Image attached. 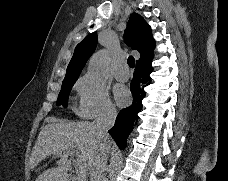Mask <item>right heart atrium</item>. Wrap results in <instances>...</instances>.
I'll use <instances>...</instances> for the list:
<instances>
[{
	"instance_id": "d8ad5b80",
	"label": "right heart atrium",
	"mask_w": 228,
	"mask_h": 181,
	"mask_svg": "<svg viewBox=\"0 0 228 181\" xmlns=\"http://www.w3.org/2000/svg\"><path fill=\"white\" fill-rule=\"evenodd\" d=\"M113 112L107 86L94 74L86 76L81 85L79 115L85 119H96Z\"/></svg>"
}]
</instances>
